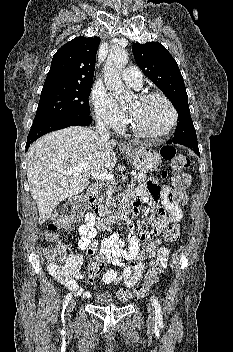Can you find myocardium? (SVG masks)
<instances>
[{
  "instance_id": "1",
  "label": "myocardium",
  "mask_w": 233,
  "mask_h": 352,
  "mask_svg": "<svg viewBox=\"0 0 233 352\" xmlns=\"http://www.w3.org/2000/svg\"><path fill=\"white\" fill-rule=\"evenodd\" d=\"M152 98H159V99L163 100L167 104V106L169 107V109L171 111V121H170L168 127L160 133L145 132L135 125V123L133 122V120L131 119L130 116H129V125H130L131 130L134 132V134H136L137 136H139L141 138L152 139V140L162 139V138L166 137L167 135H169L171 133V131L174 129V127L176 126L177 121H178V113H177L175 106L171 102V100L163 93L146 92V93L140 94L137 99L139 101H147Z\"/></svg>"
}]
</instances>
